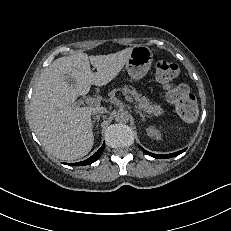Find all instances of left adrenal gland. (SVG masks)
Returning a JSON list of instances; mask_svg holds the SVG:
<instances>
[{"label": "left adrenal gland", "instance_id": "obj_1", "mask_svg": "<svg viewBox=\"0 0 231 231\" xmlns=\"http://www.w3.org/2000/svg\"><path fill=\"white\" fill-rule=\"evenodd\" d=\"M135 111H136V113H138V114L141 116L142 120L144 121L146 115H145L144 113H142V111H140V110H137V109H136Z\"/></svg>", "mask_w": 231, "mask_h": 231}]
</instances>
